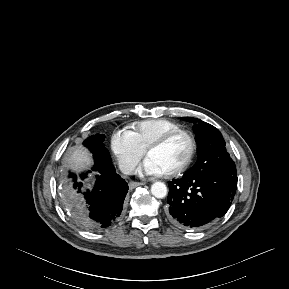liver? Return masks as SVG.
<instances>
[{
    "label": "liver",
    "mask_w": 289,
    "mask_h": 289,
    "mask_svg": "<svg viewBox=\"0 0 289 289\" xmlns=\"http://www.w3.org/2000/svg\"><path fill=\"white\" fill-rule=\"evenodd\" d=\"M70 162L76 169H78L90 165L92 160L87 151H84L82 148H77L73 151Z\"/></svg>",
    "instance_id": "6515ba94"
}]
</instances>
